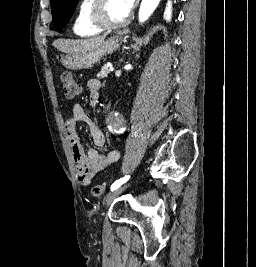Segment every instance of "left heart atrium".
Listing matches in <instances>:
<instances>
[{"label": "left heart atrium", "instance_id": "left-heart-atrium-1", "mask_svg": "<svg viewBox=\"0 0 256 267\" xmlns=\"http://www.w3.org/2000/svg\"><path fill=\"white\" fill-rule=\"evenodd\" d=\"M120 7L121 11L123 12L124 16L130 18V15L134 9V4L136 0H114ZM128 20L123 22L121 26L126 25Z\"/></svg>", "mask_w": 256, "mask_h": 267}]
</instances>
